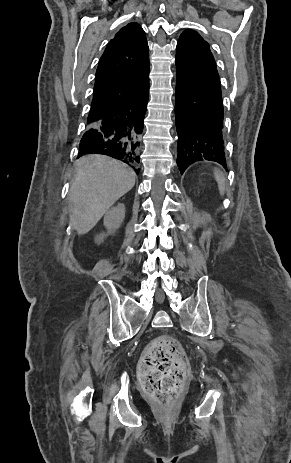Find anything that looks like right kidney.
Wrapping results in <instances>:
<instances>
[{
	"label": "right kidney",
	"instance_id": "right-kidney-1",
	"mask_svg": "<svg viewBox=\"0 0 291 463\" xmlns=\"http://www.w3.org/2000/svg\"><path fill=\"white\" fill-rule=\"evenodd\" d=\"M125 218V206L124 204H118L108 210L104 216V226L107 229V234H100L95 237V242L100 244L107 235L115 233L120 227Z\"/></svg>",
	"mask_w": 291,
	"mask_h": 463
}]
</instances>
